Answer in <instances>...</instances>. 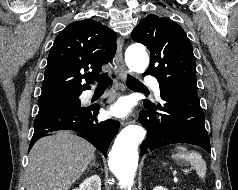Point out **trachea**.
Returning a JSON list of instances; mask_svg holds the SVG:
<instances>
[{
	"mask_svg": "<svg viewBox=\"0 0 238 190\" xmlns=\"http://www.w3.org/2000/svg\"><path fill=\"white\" fill-rule=\"evenodd\" d=\"M95 81L98 83V86L103 87H108L112 84V79L105 73L95 77ZM126 83L130 88H146L139 80L130 75H128Z\"/></svg>",
	"mask_w": 238,
	"mask_h": 190,
	"instance_id": "1",
	"label": "trachea"
}]
</instances>
